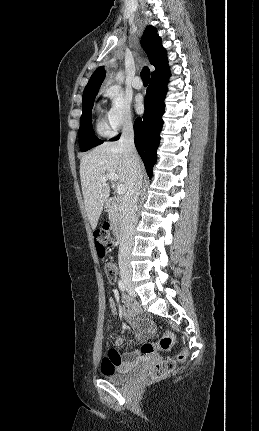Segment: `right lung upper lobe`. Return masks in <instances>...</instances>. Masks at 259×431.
<instances>
[{"label": "right lung upper lobe", "mask_w": 259, "mask_h": 431, "mask_svg": "<svg viewBox=\"0 0 259 431\" xmlns=\"http://www.w3.org/2000/svg\"><path fill=\"white\" fill-rule=\"evenodd\" d=\"M142 47L145 49L150 63L155 67L152 75L157 74L168 68L167 53L161 43V37L153 26H147L141 40ZM105 78V70L99 67L91 76L85 87L84 94L98 92Z\"/></svg>", "instance_id": "obj_1"}]
</instances>
